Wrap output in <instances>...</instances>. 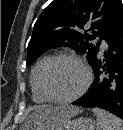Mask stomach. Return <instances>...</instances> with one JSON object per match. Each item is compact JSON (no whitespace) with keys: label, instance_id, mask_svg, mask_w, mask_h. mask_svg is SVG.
I'll list each match as a JSON object with an SVG mask.
<instances>
[{"label":"stomach","instance_id":"stomach-1","mask_svg":"<svg viewBox=\"0 0 123 130\" xmlns=\"http://www.w3.org/2000/svg\"><path fill=\"white\" fill-rule=\"evenodd\" d=\"M95 122L91 118H76L67 119L48 130H94ZM24 130H32L31 128H25Z\"/></svg>","mask_w":123,"mask_h":130}]
</instances>
